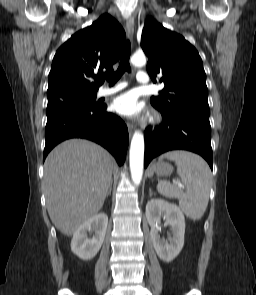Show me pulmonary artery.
<instances>
[{
  "mask_svg": "<svg viewBox=\"0 0 256 295\" xmlns=\"http://www.w3.org/2000/svg\"><path fill=\"white\" fill-rule=\"evenodd\" d=\"M136 78L140 84H148L150 82L148 74L144 71H139L137 73ZM127 85H128L127 82H120L111 88H108V87L101 88L99 90V94L101 96H107L124 89Z\"/></svg>",
  "mask_w": 256,
  "mask_h": 295,
  "instance_id": "e3ab8cb5",
  "label": "pulmonary artery"
}]
</instances>
